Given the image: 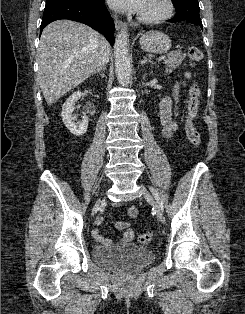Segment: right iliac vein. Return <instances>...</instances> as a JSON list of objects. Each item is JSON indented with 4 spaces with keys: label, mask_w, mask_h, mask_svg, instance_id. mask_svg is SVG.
<instances>
[{
    "label": "right iliac vein",
    "mask_w": 245,
    "mask_h": 314,
    "mask_svg": "<svg viewBox=\"0 0 245 314\" xmlns=\"http://www.w3.org/2000/svg\"><path fill=\"white\" fill-rule=\"evenodd\" d=\"M102 199H103V197H100V199L97 201V203H96L97 206L100 204Z\"/></svg>",
    "instance_id": "obj_1"
}]
</instances>
